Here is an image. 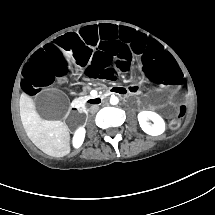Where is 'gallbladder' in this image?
I'll return each mask as SVG.
<instances>
[{
  "label": "gallbladder",
  "mask_w": 215,
  "mask_h": 215,
  "mask_svg": "<svg viewBox=\"0 0 215 215\" xmlns=\"http://www.w3.org/2000/svg\"><path fill=\"white\" fill-rule=\"evenodd\" d=\"M34 104L37 113L48 120H59L67 111L66 100L57 90L38 93Z\"/></svg>",
  "instance_id": "gallbladder-1"
}]
</instances>
